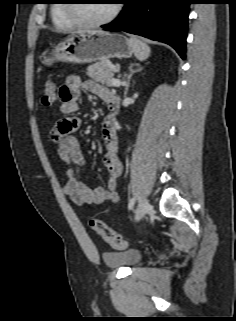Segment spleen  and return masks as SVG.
<instances>
[{
    "mask_svg": "<svg viewBox=\"0 0 236 321\" xmlns=\"http://www.w3.org/2000/svg\"><path fill=\"white\" fill-rule=\"evenodd\" d=\"M129 42L132 45L133 53L138 60L143 61L149 57L150 47L148 45L134 38L129 39Z\"/></svg>",
    "mask_w": 236,
    "mask_h": 321,
    "instance_id": "spleen-1",
    "label": "spleen"
}]
</instances>
